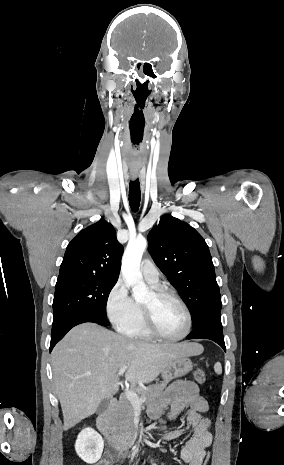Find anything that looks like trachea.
<instances>
[{
  "mask_svg": "<svg viewBox=\"0 0 284 465\" xmlns=\"http://www.w3.org/2000/svg\"><path fill=\"white\" fill-rule=\"evenodd\" d=\"M141 201V191L139 180L130 182L129 186V204L133 212H137Z\"/></svg>",
  "mask_w": 284,
  "mask_h": 465,
  "instance_id": "obj_1",
  "label": "trachea"
}]
</instances>
